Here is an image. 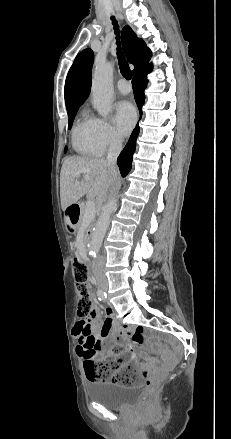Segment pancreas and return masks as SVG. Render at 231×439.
<instances>
[{
	"label": "pancreas",
	"mask_w": 231,
	"mask_h": 439,
	"mask_svg": "<svg viewBox=\"0 0 231 439\" xmlns=\"http://www.w3.org/2000/svg\"><path fill=\"white\" fill-rule=\"evenodd\" d=\"M81 207V218H80V224H83L85 221V212H86V204L85 203H81L80 204ZM93 220V219H92Z\"/></svg>",
	"instance_id": "pancreas-1"
}]
</instances>
